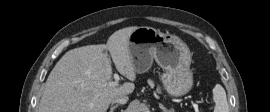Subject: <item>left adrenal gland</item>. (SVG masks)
Masks as SVG:
<instances>
[{
    "label": "left adrenal gland",
    "instance_id": "obj_1",
    "mask_svg": "<svg viewBox=\"0 0 270 112\" xmlns=\"http://www.w3.org/2000/svg\"><path fill=\"white\" fill-rule=\"evenodd\" d=\"M160 109L163 110V112H172V110H168L166 107H164L162 104H159Z\"/></svg>",
    "mask_w": 270,
    "mask_h": 112
}]
</instances>
